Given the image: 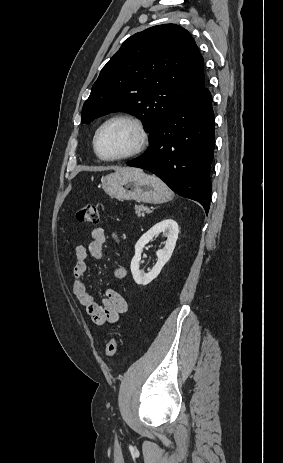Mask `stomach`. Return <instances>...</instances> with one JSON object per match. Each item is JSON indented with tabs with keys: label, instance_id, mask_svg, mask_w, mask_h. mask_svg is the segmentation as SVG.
Returning <instances> with one entry per match:
<instances>
[{
	"label": "stomach",
	"instance_id": "obj_1",
	"mask_svg": "<svg viewBox=\"0 0 283 463\" xmlns=\"http://www.w3.org/2000/svg\"><path fill=\"white\" fill-rule=\"evenodd\" d=\"M101 182L103 190L119 201L163 203L173 197L172 191L163 181L140 169L117 171L103 177Z\"/></svg>",
	"mask_w": 283,
	"mask_h": 463
}]
</instances>
